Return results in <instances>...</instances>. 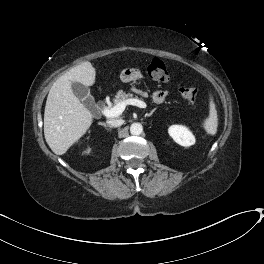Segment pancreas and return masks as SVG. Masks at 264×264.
Here are the masks:
<instances>
[{"label": "pancreas", "mask_w": 264, "mask_h": 264, "mask_svg": "<svg viewBox=\"0 0 264 264\" xmlns=\"http://www.w3.org/2000/svg\"><path fill=\"white\" fill-rule=\"evenodd\" d=\"M128 99H137V97H133L132 94L119 90L114 98V102L117 104Z\"/></svg>", "instance_id": "1"}]
</instances>
